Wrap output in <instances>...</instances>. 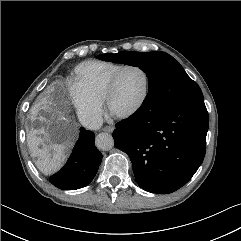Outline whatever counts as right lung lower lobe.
Masks as SVG:
<instances>
[{"mask_svg":"<svg viewBox=\"0 0 241 241\" xmlns=\"http://www.w3.org/2000/svg\"><path fill=\"white\" fill-rule=\"evenodd\" d=\"M94 140L93 132L81 128L79 140L66 165L49 179L54 186L75 190L87 186L93 180L102 160Z\"/></svg>","mask_w":241,"mask_h":241,"instance_id":"right-lung-lower-lobe-1","label":"right lung lower lobe"}]
</instances>
